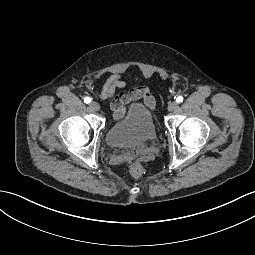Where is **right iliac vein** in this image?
<instances>
[{
    "label": "right iliac vein",
    "mask_w": 255,
    "mask_h": 255,
    "mask_svg": "<svg viewBox=\"0 0 255 255\" xmlns=\"http://www.w3.org/2000/svg\"><path fill=\"white\" fill-rule=\"evenodd\" d=\"M89 107L91 108V110L93 111H98L100 109V106L97 102L95 101H92L90 104H89Z\"/></svg>",
    "instance_id": "obj_1"
}]
</instances>
